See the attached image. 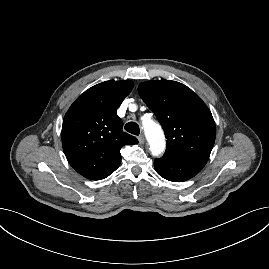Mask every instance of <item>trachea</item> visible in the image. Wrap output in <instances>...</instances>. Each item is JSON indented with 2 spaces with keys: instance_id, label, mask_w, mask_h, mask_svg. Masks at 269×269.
Segmentation results:
<instances>
[{
  "instance_id": "trachea-1",
  "label": "trachea",
  "mask_w": 269,
  "mask_h": 269,
  "mask_svg": "<svg viewBox=\"0 0 269 269\" xmlns=\"http://www.w3.org/2000/svg\"><path fill=\"white\" fill-rule=\"evenodd\" d=\"M124 129L134 135H139L140 133L139 125L136 122H128L125 125Z\"/></svg>"
}]
</instances>
